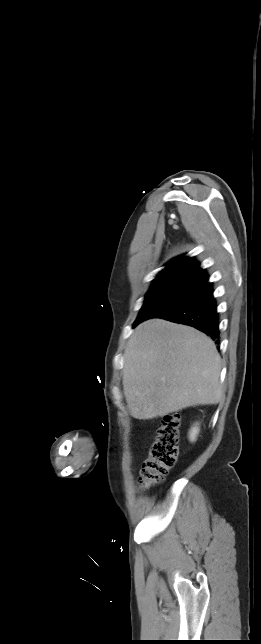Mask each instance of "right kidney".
I'll list each match as a JSON object with an SVG mask.
<instances>
[{
	"label": "right kidney",
	"mask_w": 261,
	"mask_h": 644,
	"mask_svg": "<svg viewBox=\"0 0 261 644\" xmlns=\"http://www.w3.org/2000/svg\"><path fill=\"white\" fill-rule=\"evenodd\" d=\"M198 431H199L198 427H193V428L191 429V431H190V440H191V441H194V440H195V437H196V435L198 434Z\"/></svg>",
	"instance_id": "1"
}]
</instances>
